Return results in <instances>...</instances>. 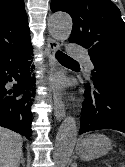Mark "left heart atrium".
<instances>
[{"label": "left heart atrium", "instance_id": "1", "mask_svg": "<svg viewBox=\"0 0 125 167\" xmlns=\"http://www.w3.org/2000/svg\"><path fill=\"white\" fill-rule=\"evenodd\" d=\"M52 87L54 88V90H58L60 87V82L59 81H55L52 83Z\"/></svg>", "mask_w": 125, "mask_h": 167}]
</instances>
